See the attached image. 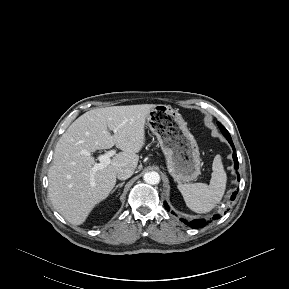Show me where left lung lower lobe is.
<instances>
[{
    "label": "left lung lower lobe",
    "instance_id": "left-lung-lower-lobe-1",
    "mask_svg": "<svg viewBox=\"0 0 289 289\" xmlns=\"http://www.w3.org/2000/svg\"><path fill=\"white\" fill-rule=\"evenodd\" d=\"M226 137V139L228 140V142L230 143V145L232 146L233 151H235V147L233 145L232 139L230 135H224ZM233 160H234V168L238 169L239 165H238V159H237V155L235 153H233ZM238 176V181H240V177L239 174H237ZM237 191H235L232 195V199H234V197L236 196ZM165 208L169 211V206L166 202H164ZM173 213V212H172ZM219 215H214L213 219H219ZM182 222H184L186 225L190 226L191 228L197 229V228H202L204 226H206L208 224V221H206L205 219H194V220H186V219H181Z\"/></svg>",
    "mask_w": 289,
    "mask_h": 289
}]
</instances>
